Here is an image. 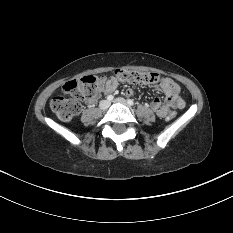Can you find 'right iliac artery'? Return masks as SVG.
Listing matches in <instances>:
<instances>
[{
    "label": "right iliac artery",
    "instance_id": "right-iliac-artery-1",
    "mask_svg": "<svg viewBox=\"0 0 233 233\" xmlns=\"http://www.w3.org/2000/svg\"><path fill=\"white\" fill-rule=\"evenodd\" d=\"M114 99V96H112V95H109L108 97H107V100L108 101H112Z\"/></svg>",
    "mask_w": 233,
    "mask_h": 233
}]
</instances>
